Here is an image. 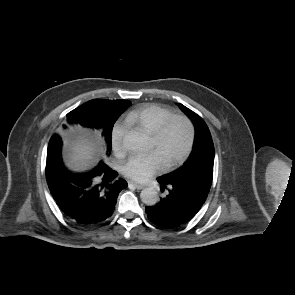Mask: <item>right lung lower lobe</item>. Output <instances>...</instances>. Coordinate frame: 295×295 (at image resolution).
Wrapping results in <instances>:
<instances>
[{
  "instance_id": "98d812e1",
  "label": "right lung lower lobe",
  "mask_w": 295,
  "mask_h": 295,
  "mask_svg": "<svg viewBox=\"0 0 295 295\" xmlns=\"http://www.w3.org/2000/svg\"><path fill=\"white\" fill-rule=\"evenodd\" d=\"M61 138L52 136L47 150V161L53 157L61 160ZM117 172L105 163L98 164L84 174L47 175L50 192L67 218L79 226L100 224L113 214L118 194L127 182L117 178Z\"/></svg>"
}]
</instances>
